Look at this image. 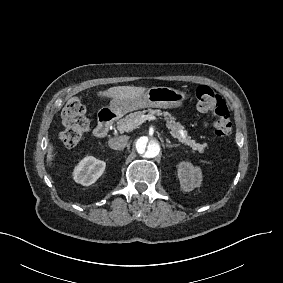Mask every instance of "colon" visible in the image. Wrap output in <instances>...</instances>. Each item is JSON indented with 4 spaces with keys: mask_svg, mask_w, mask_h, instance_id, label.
<instances>
[{
    "mask_svg": "<svg viewBox=\"0 0 283 283\" xmlns=\"http://www.w3.org/2000/svg\"><path fill=\"white\" fill-rule=\"evenodd\" d=\"M197 107L216 116L214 133L217 137H228L232 132L230 111L222 97L212 88L201 85L196 90ZM63 130L60 139L64 146L73 148L89 129V120L84 104L78 98L70 99L61 112Z\"/></svg>",
    "mask_w": 283,
    "mask_h": 283,
    "instance_id": "colon-1",
    "label": "colon"
}]
</instances>
